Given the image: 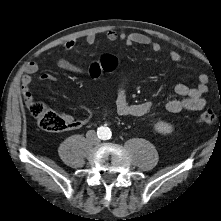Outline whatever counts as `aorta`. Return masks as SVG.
I'll list each match as a JSON object with an SVG mask.
<instances>
[{
  "instance_id": "aorta-1",
  "label": "aorta",
  "mask_w": 221,
  "mask_h": 221,
  "mask_svg": "<svg viewBox=\"0 0 221 221\" xmlns=\"http://www.w3.org/2000/svg\"><path fill=\"white\" fill-rule=\"evenodd\" d=\"M98 134L101 139H109L111 137V131L108 127L102 126L98 129Z\"/></svg>"
}]
</instances>
